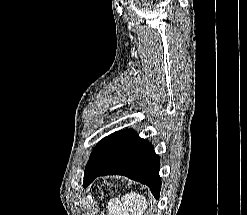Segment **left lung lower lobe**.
<instances>
[{
    "label": "left lung lower lobe",
    "instance_id": "1",
    "mask_svg": "<svg viewBox=\"0 0 247 215\" xmlns=\"http://www.w3.org/2000/svg\"><path fill=\"white\" fill-rule=\"evenodd\" d=\"M159 169V156L149 142L132 129L117 131L93 149L85 168L83 186H88L97 176L119 174L146 184L159 198Z\"/></svg>",
    "mask_w": 247,
    "mask_h": 215
}]
</instances>
